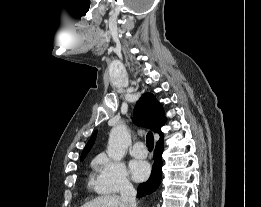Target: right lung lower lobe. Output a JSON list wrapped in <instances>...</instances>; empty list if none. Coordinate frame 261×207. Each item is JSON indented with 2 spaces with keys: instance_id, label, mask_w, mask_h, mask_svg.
<instances>
[{
  "instance_id": "1",
  "label": "right lung lower lobe",
  "mask_w": 261,
  "mask_h": 207,
  "mask_svg": "<svg viewBox=\"0 0 261 207\" xmlns=\"http://www.w3.org/2000/svg\"><path fill=\"white\" fill-rule=\"evenodd\" d=\"M163 149H164L163 141L156 143V148L154 151V164H153L151 176L147 182H144L139 185L137 190V196L139 198L149 193H152L160 185L161 177H162L161 168H162Z\"/></svg>"
}]
</instances>
